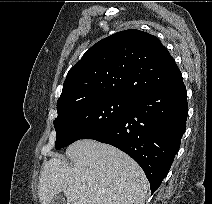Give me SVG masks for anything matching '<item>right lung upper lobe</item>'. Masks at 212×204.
<instances>
[{"label": "right lung upper lobe", "instance_id": "right-lung-upper-lobe-1", "mask_svg": "<svg viewBox=\"0 0 212 204\" xmlns=\"http://www.w3.org/2000/svg\"><path fill=\"white\" fill-rule=\"evenodd\" d=\"M182 79L159 39L129 29L94 44L68 72L57 109L82 101L124 96L136 98Z\"/></svg>", "mask_w": 212, "mask_h": 204}]
</instances>
